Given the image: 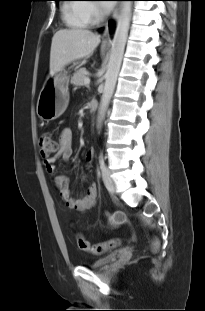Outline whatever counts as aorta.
<instances>
[{
    "label": "aorta",
    "mask_w": 205,
    "mask_h": 311,
    "mask_svg": "<svg viewBox=\"0 0 205 311\" xmlns=\"http://www.w3.org/2000/svg\"><path fill=\"white\" fill-rule=\"evenodd\" d=\"M132 16V1H122L120 14L117 21L115 35L112 41L110 59L105 74L104 91L100 102L98 126L104 119L106 110L113 95L117 77L120 71L124 49L127 41L130 21Z\"/></svg>",
    "instance_id": "obj_1"
}]
</instances>
